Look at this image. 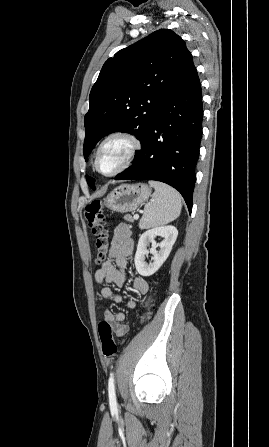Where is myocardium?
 Masks as SVG:
<instances>
[{
  "instance_id": "1",
  "label": "myocardium",
  "mask_w": 269,
  "mask_h": 447,
  "mask_svg": "<svg viewBox=\"0 0 269 447\" xmlns=\"http://www.w3.org/2000/svg\"><path fill=\"white\" fill-rule=\"evenodd\" d=\"M115 138H125V139L129 140L131 143V148L128 152V155H127L125 161L119 167H117L116 169L109 171V172H102L98 166L100 152L106 143H108L109 141H111L112 139H115ZM141 147H142V141L136 134L127 132V131L113 132V133L109 134L107 137H105L103 139V141L100 143L99 147L97 148L96 155H95V167L99 173H101L102 175H105V176H112L116 173H119L131 166V164L134 162L136 156L138 155V152L140 151Z\"/></svg>"
}]
</instances>
